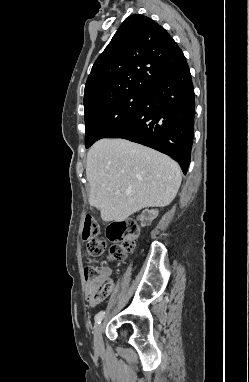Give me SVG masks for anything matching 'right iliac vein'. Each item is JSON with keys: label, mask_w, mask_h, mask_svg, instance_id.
<instances>
[{"label": "right iliac vein", "mask_w": 249, "mask_h": 382, "mask_svg": "<svg viewBox=\"0 0 249 382\" xmlns=\"http://www.w3.org/2000/svg\"><path fill=\"white\" fill-rule=\"evenodd\" d=\"M103 326L99 324L94 329V346L96 349H102L103 347V338H102Z\"/></svg>", "instance_id": "obj_1"}]
</instances>
